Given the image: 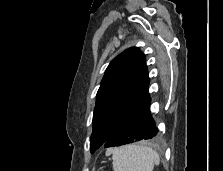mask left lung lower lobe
I'll return each mask as SVG.
<instances>
[{"label":"left lung lower lobe","instance_id":"left-lung-lower-lobe-1","mask_svg":"<svg viewBox=\"0 0 223 171\" xmlns=\"http://www.w3.org/2000/svg\"><path fill=\"white\" fill-rule=\"evenodd\" d=\"M149 84L103 144L105 148L154 138L158 129L150 113Z\"/></svg>","mask_w":223,"mask_h":171}]
</instances>
